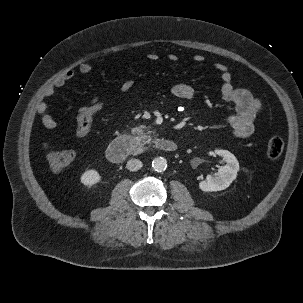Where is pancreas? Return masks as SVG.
Masks as SVG:
<instances>
[{"instance_id":"cf45deb5","label":"pancreas","mask_w":303,"mask_h":303,"mask_svg":"<svg viewBox=\"0 0 303 303\" xmlns=\"http://www.w3.org/2000/svg\"><path fill=\"white\" fill-rule=\"evenodd\" d=\"M132 134L137 135V143L141 145L149 143L152 140V137L149 135V131L145 130L142 126L133 128Z\"/></svg>"}]
</instances>
